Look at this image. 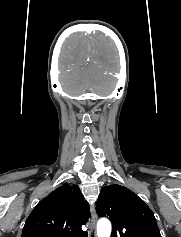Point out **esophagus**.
<instances>
[{
	"instance_id": "esophagus-1",
	"label": "esophagus",
	"mask_w": 181,
	"mask_h": 237,
	"mask_svg": "<svg viewBox=\"0 0 181 237\" xmlns=\"http://www.w3.org/2000/svg\"><path fill=\"white\" fill-rule=\"evenodd\" d=\"M96 213L93 212L91 216V220L89 222V237H96Z\"/></svg>"
}]
</instances>
